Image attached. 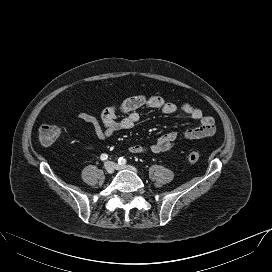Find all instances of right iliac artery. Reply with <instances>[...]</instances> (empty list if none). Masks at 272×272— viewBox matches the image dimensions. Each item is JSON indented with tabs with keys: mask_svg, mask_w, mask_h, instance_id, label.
<instances>
[{
	"mask_svg": "<svg viewBox=\"0 0 272 272\" xmlns=\"http://www.w3.org/2000/svg\"><path fill=\"white\" fill-rule=\"evenodd\" d=\"M100 159H101L102 161H105V160L108 159V155H107V154H102V155L100 156Z\"/></svg>",
	"mask_w": 272,
	"mask_h": 272,
	"instance_id": "82829eb1",
	"label": "right iliac artery"
}]
</instances>
